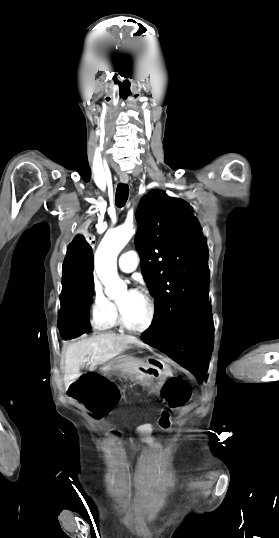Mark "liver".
<instances>
[{
  "label": "liver",
  "mask_w": 279,
  "mask_h": 538,
  "mask_svg": "<svg viewBox=\"0 0 279 538\" xmlns=\"http://www.w3.org/2000/svg\"><path fill=\"white\" fill-rule=\"evenodd\" d=\"M129 344H136L140 348L145 346L143 342H139L133 336H119V334H98V336H93L88 340L64 346L62 352L65 356V386H70L72 382L82 376L80 366L86 356L91 358L89 370H96L98 364H104L118 354H123L127 348H130Z\"/></svg>",
  "instance_id": "1"
}]
</instances>
